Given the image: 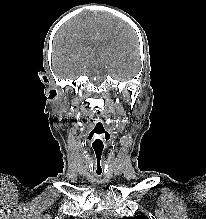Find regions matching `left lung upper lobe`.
<instances>
[{"mask_svg": "<svg viewBox=\"0 0 206 219\" xmlns=\"http://www.w3.org/2000/svg\"><path fill=\"white\" fill-rule=\"evenodd\" d=\"M119 219H149V218L145 215H138L136 217H123V218H119Z\"/></svg>", "mask_w": 206, "mask_h": 219, "instance_id": "obj_1", "label": "left lung upper lobe"}]
</instances>
